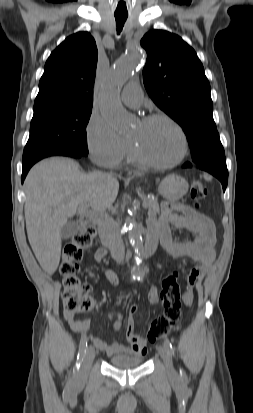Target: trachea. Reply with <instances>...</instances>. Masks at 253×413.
<instances>
[{
    "mask_svg": "<svg viewBox=\"0 0 253 413\" xmlns=\"http://www.w3.org/2000/svg\"><path fill=\"white\" fill-rule=\"evenodd\" d=\"M127 17H128V14H115L118 34L121 32Z\"/></svg>",
    "mask_w": 253,
    "mask_h": 413,
    "instance_id": "3493384b",
    "label": "trachea"
}]
</instances>
